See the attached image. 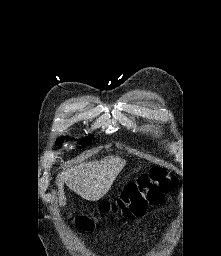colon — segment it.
<instances>
[{
	"label": "colon",
	"mask_w": 221,
	"mask_h": 256,
	"mask_svg": "<svg viewBox=\"0 0 221 256\" xmlns=\"http://www.w3.org/2000/svg\"><path fill=\"white\" fill-rule=\"evenodd\" d=\"M176 184L177 181L171 178L164 168L154 166L136 181L128 183L116 200L102 202L96 212L121 214L126 218L140 217L149 205L160 204ZM74 221L83 231H91L94 228V219L91 216L80 215Z\"/></svg>",
	"instance_id": "obj_1"
}]
</instances>
